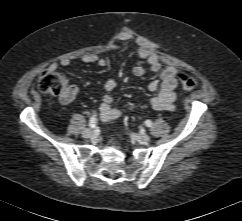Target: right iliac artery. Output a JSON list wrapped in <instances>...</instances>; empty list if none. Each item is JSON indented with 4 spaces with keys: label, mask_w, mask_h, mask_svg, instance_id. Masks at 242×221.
I'll return each mask as SVG.
<instances>
[{
    "label": "right iliac artery",
    "mask_w": 242,
    "mask_h": 221,
    "mask_svg": "<svg viewBox=\"0 0 242 221\" xmlns=\"http://www.w3.org/2000/svg\"><path fill=\"white\" fill-rule=\"evenodd\" d=\"M96 123H97L96 116L93 115L89 120V127L94 128L96 126Z\"/></svg>",
    "instance_id": "right-iliac-artery-1"
}]
</instances>
